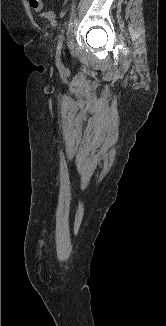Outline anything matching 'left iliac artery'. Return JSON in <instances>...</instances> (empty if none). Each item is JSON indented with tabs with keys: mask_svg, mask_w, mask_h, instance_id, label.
<instances>
[{
	"mask_svg": "<svg viewBox=\"0 0 166 326\" xmlns=\"http://www.w3.org/2000/svg\"><path fill=\"white\" fill-rule=\"evenodd\" d=\"M63 39H64V32H62L59 35V39H58V45H57V53H61V49H62V44H63Z\"/></svg>",
	"mask_w": 166,
	"mask_h": 326,
	"instance_id": "obj_1",
	"label": "left iliac artery"
}]
</instances>
